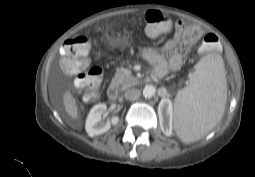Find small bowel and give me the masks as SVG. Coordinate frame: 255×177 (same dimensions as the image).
I'll return each mask as SVG.
<instances>
[{
	"label": "small bowel",
	"mask_w": 255,
	"mask_h": 177,
	"mask_svg": "<svg viewBox=\"0 0 255 177\" xmlns=\"http://www.w3.org/2000/svg\"><path fill=\"white\" fill-rule=\"evenodd\" d=\"M202 30L198 26H183L179 24L172 37L165 44L158 47H146L141 50L142 57L149 63L154 65L155 74L158 77H163L168 70L173 72L179 71L183 65V54L178 51L181 44H192L197 42L202 37ZM216 45V44H215ZM171 53L166 59L163 54Z\"/></svg>",
	"instance_id": "1"
}]
</instances>
